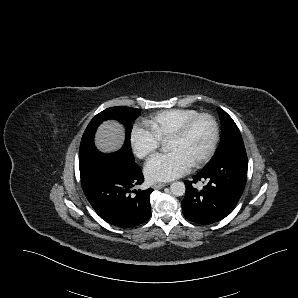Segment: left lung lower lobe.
Listing matches in <instances>:
<instances>
[{
    "instance_id": "left-lung-lower-lobe-1",
    "label": "left lung lower lobe",
    "mask_w": 298,
    "mask_h": 298,
    "mask_svg": "<svg viewBox=\"0 0 298 298\" xmlns=\"http://www.w3.org/2000/svg\"><path fill=\"white\" fill-rule=\"evenodd\" d=\"M248 159L245 148L232 150L211 161L194 176L185 181L186 194L182 200L184 216L197 224L207 225L225 218L235 208L247 179ZM205 181L202 190L193 187Z\"/></svg>"
}]
</instances>
